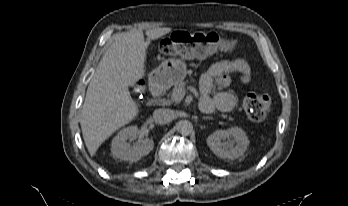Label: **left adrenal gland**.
Segmentation results:
<instances>
[{
    "label": "left adrenal gland",
    "instance_id": "1",
    "mask_svg": "<svg viewBox=\"0 0 348 206\" xmlns=\"http://www.w3.org/2000/svg\"><path fill=\"white\" fill-rule=\"evenodd\" d=\"M203 120H210V119H212L211 117H203L202 118Z\"/></svg>",
    "mask_w": 348,
    "mask_h": 206
}]
</instances>
